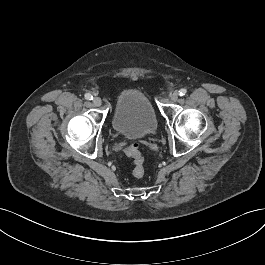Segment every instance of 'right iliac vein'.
I'll list each match as a JSON object with an SVG mask.
<instances>
[{"label":"right iliac vein","mask_w":265,"mask_h":265,"mask_svg":"<svg viewBox=\"0 0 265 265\" xmlns=\"http://www.w3.org/2000/svg\"><path fill=\"white\" fill-rule=\"evenodd\" d=\"M92 102H93V104H94L95 106H101V104H102L101 99L98 98V97L93 98Z\"/></svg>","instance_id":"1"}]
</instances>
